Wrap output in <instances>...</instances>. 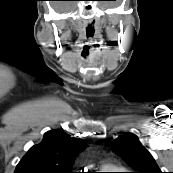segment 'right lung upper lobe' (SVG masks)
Here are the masks:
<instances>
[{"instance_id": "right-lung-upper-lobe-1", "label": "right lung upper lobe", "mask_w": 173, "mask_h": 173, "mask_svg": "<svg viewBox=\"0 0 173 173\" xmlns=\"http://www.w3.org/2000/svg\"><path fill=\"white\" fill-rule=\"evenodd\" d=\"M85 145L62 131H48L41 143L29 149L14 173H71L74 157Z\"/></svg>"}]
</instances>
